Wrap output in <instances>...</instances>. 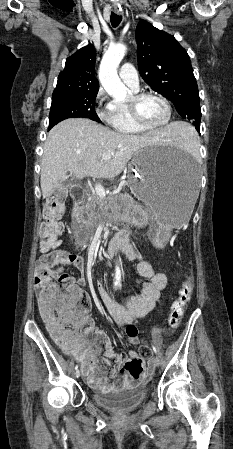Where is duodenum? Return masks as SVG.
<instances>
[{
    "mask_svg": "<svg viewBox=\"0 0 233 449\" xmlns=\"http://www.w3.org/2000/svg\"><path fill=\"white\" fill-rule=\"evenodd\" d=\"M72 196L74 198V213L77 215L79 213V208L81 204L85 201L87 197V192L84 186H73ZM117 251H124L130 254L132 248L129 244V240L125 231H120L117 233L112 240L108 243L107 252L110 256L114 255Z\"/></svg>",
    "mask_w": 233,
    "mask_h": 449,
    "instance_id": "1",
    "label": "duodenum"
}]
</instances>
